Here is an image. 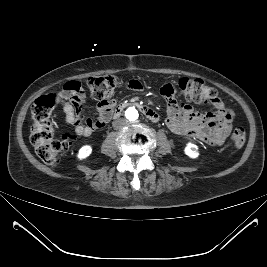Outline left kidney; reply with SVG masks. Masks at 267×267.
<instances>
[{"label":"left kidney","instance_id":"left-kidney-1","mask_svg":"<svg viewBox=\"0 0 267 267\" xmlns=\"http://www.w3.org/2000/svg\"><path fill=\"white\" fill-rule=\"evenodd\" d=\"M184 152L187 156H189L190 158H197L199 153H198V147L197 145L193 144V143H187Z\"/></svg>","mask_w":267,"mask_h":267}]
</instances>
